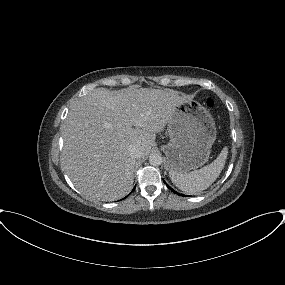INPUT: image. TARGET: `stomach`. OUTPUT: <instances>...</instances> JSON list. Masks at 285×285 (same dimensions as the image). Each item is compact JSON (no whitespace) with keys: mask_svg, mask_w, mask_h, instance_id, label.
<instances>
[{"mask_svg":"<svg viewBox=\"0 0 285 285\" xmlns=\"http://www.w3.org/2000/svg\"><path fill=\"white\" fill-rule=\"evenodd\" d=\"M167 130L170 142L163 146L167 170L187 173L208 161L216 140V126L205 107L194 101L179 104Z\"/></svg>","mask_w":285,"mask_h":285,"instance_id":"1","label":"stomach"}]
</instances>
